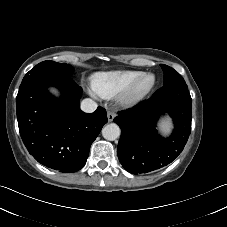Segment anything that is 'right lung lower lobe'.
Returning <instances> with one entry per match:
<instances>
[{"mask_svg":"<svg viewBox=\"0 0 227 227\" xmlns=\"http://www.w3.org/2000/svg\"><path fill=\"white\" fill-rule=\"evenodd\" d=\"M50 85L60 89L61 98L48 92ZM81 93L82 88L66 75L23 78L16 97L18 126L24 145L40 164L64 173L85 165L107 116L102 107L84 113Z\"/></svg>","mask_w":227,"mask_h":227,"instance_id":"1","label":"right lung lower lobe"}]
</instances>
